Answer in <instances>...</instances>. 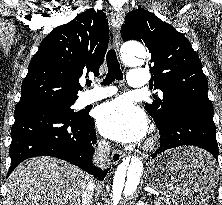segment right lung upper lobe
<instances>
[{
	"label": "right lung upper lobe",
	"mask_w": 222,
	"mask_h": 205,
	"mask_svg": "<svg viewBox=\"0 0 222 205\" xmlns=\"http://www.w3.org/2000/svg\"><path fill=\"white\" fill-rule=\"evenodd\" d=\"M109 41L106 15L91 8L70 23L56 27L31 59L15 110L48 101H75L79 78L99 74Z\"/></svg>",
	"instance_id": "right-lung-upper-lobe-1"
}]
</instances>
